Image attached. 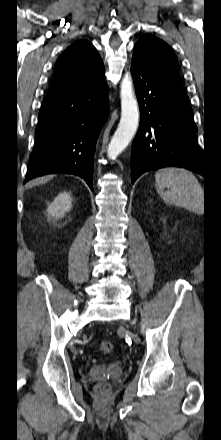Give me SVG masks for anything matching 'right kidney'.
<instances>
[{
    "label": "right kidney",
    "mask_w": 221,
    "mask_h": 440,
    "mask_svg": "<svg viewBox=\"0 0 221 440\" xmlns=\"http://www.w3.org/2000/svg\"><path fill=\"white\" fill-rule=\"evenodd\" d=\"M72 207V198L70 194L64 192L60 193L54 201L48 205L47 213L48 216L55 219L61 218L66 212H68Z\"/></svg>",
    "instance_id": "right-kidney-1"
}]
</instances>
